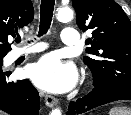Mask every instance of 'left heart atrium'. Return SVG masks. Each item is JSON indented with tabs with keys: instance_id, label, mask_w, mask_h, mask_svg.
<instances>
[{
	"instance_id": "left-heart-atrium-1",
	"label": "left heart atrium",
	"mask_w": 131,
	"mask_h": 115,
	"mask_svg": "<svg viewBox=\"0 0 131 115\" xmlns=\"http://www.w3.org/2000/svg\"><path fill=\"white\" fill-rule=\"evenodd\" d=\"M27 76L40 88L51 92L71 89L76 81L75 68L62 63L55 55H46L29 66Z\"/></svg>"
}]
</instances>
